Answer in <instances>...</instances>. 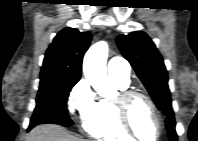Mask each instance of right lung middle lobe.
<instances>
[{"instance_id": "dd1d6c3e", "label": "right lung middle lobe", "mask_w": 198, "mask_h": 141, "mask_svg": "<svg viewBox=\"0 0 198 141\" xmlns=\"http://www.w3.org/2000/svg\"><path fill=\"white\" fill-rule=\"evenodd\" d=\"M78 77H40L36 107L29 128L42 123L73 125L66 107L69 92Z\"/></svg>"}]
</instances>
